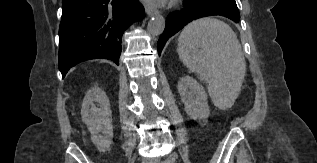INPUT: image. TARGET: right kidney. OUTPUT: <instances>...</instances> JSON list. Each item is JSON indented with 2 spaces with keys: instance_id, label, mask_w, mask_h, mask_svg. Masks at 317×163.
Returning <instances> with one entry per match:
<instances>
[{
  "instance_id": "right-kidney-1",
  "label": "right kidney",
  "mask_w": 317,
  "mask_h": 163,
  "mask_svg": "<svg viewBox=\"0 0 317 163\" xmlns=\"http://www.w3.org/2000/svg\"><path fill=\"white\" fill-rule=\"evenodd\" d=\"M81 116L97 149L105 152L113 139L112 112L106 93L98 86L89 90L82 103Z\"/></svg>"
}]
</instances>
